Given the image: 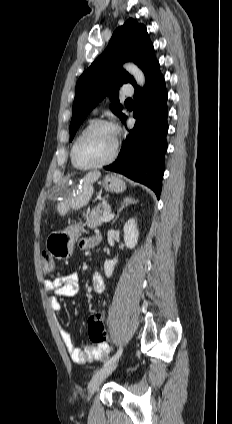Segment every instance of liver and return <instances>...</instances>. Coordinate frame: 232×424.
Masks as SVG:
<instances>
[{"label": "liver", "mask_w": 232, "mask_h": 424, "mask_svg": "<svg viewBox=\"0 0 232 424\" xmlns=\"http://www.w3.org/2000/svg\"><path fill=\"white\" fill-rule=\"evenodd\" d=\"M101 176L99 171H92L87 173L81 183L80 187L73 189L63 187L66 191L60 194L62 201L57 204V211L60 215L64 216L70 209L78 210L88 204L90 201L94 188L93 183L96 182Z\"/></svg>", "instance_id": "6515ba94"}]
</instances>
